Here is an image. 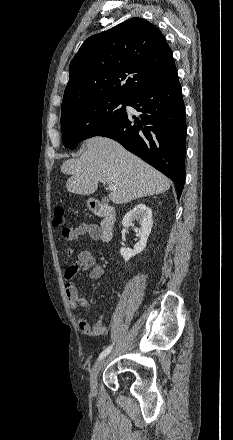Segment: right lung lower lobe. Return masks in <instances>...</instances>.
I'll return each instance as SVG.
<instances>
[{"label":"right lung lower lobe","mask_w":233,"mask_h":440,"mask_svg":"<svg viewBox=\"0 0 233 440\" xmlns=\"http://www.w3.org/2000/svg\"><path fill=\"white\" fill-rule=\"evenodd\" d=\"M127 105L141 112V120L125 112L99 136L118 141L172 179L180 197L185 182L187 127L177 70L136 91Z\"/></svg>","instance_id":"obj_1"}]
</instances>
